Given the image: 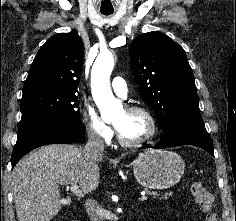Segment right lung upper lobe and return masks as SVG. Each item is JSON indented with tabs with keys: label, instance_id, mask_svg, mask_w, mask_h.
<instances>
[{
	"label": "right lung upper lobe",
	"instance_id": "cb5924a9",
	"mask_svg": "<svg viewBox=\"0 0 236 221\" xmlns=\"http://www.w3.org/2000/svg\"><path fill=\"white\" fill-rule=\"evenodd\" d=\"M84 47L77 33H59L38 51L23 86V94L39 90L77 92Z\"/></svg>",
	"mask_w": 236,
	"mask_h": 221
}]
</instances>
